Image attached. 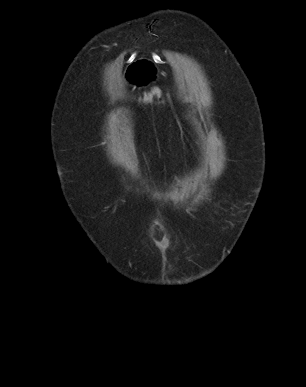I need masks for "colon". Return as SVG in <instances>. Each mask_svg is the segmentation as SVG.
<instances>
[{"label": "colon", "mask_w": 306, "mask_h": 387, "mask_svg": "<svg viewBox=\"0 0 306 387\" xmlns=\"http://www.w3.org/2000/svg\"><path fill=\"white\" fill-rule=\"evenodd\" d=\"M160 96H161V93H160L159 89L158 88H154L149 93V97L148 98H151V99L152 98H160Z\"/></svg>", "instance_id": "1"}]
</instances>
